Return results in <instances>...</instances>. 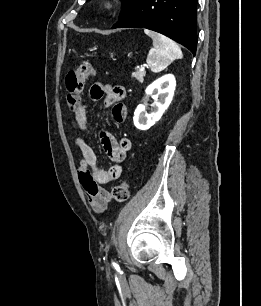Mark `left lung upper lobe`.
I'll list each match as a JSON object with an SVG mask.
<instances>
[{
    "label": "left lung upper lobe",
    "mask_w": 261,
    "mask_h": 306,
    "mask_svg": "<svg viewBox=\"0 0 261 306\" xmlns=\"http://www.w3.org/2000/svg\"><path fill=\"white\" fill-rule=\"evenodd\" d=\"M123 5H122V13L119 18L124 16L133 6V4L136 2V0H121Z\"/></svg>",
    "instance_id": "5c2ea615"
}]
</instances>
